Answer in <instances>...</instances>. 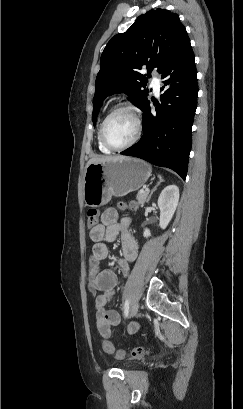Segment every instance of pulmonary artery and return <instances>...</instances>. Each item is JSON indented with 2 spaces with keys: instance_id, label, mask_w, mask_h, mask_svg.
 Wrapping results in <instances>:
<instances>
[{
  "instance_id": "1",
  "label": "pulmonary artery",
  "mask_w": 243,
  "mask_h": 409,
  "mask_svg": "<svg viewBox=\"0 0 243 409\" xmlns=\"http://www.w3.org/2000/svg\"><path fill=\"white\" fill-rule=\"evenodd\" d=\"M160 77L158 75H154L151 79V85L153 87L154 92L157 94L160 91Z\"/></svg>"
}]
</instances>
